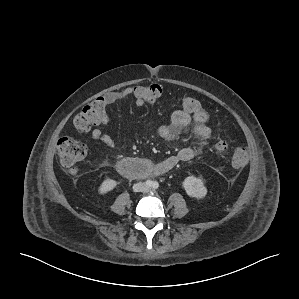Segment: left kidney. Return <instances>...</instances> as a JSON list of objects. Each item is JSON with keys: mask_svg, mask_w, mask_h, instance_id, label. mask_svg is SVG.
I'll return each mask as SVG.
<instances>
[{"mask_svg": "<svg viewBox=\"0 0 299 299\" xmlns=\"http://www.w3.org/2000/svg\"><path fill=\"white\" fill-rule=\"evenodd\" d=\"M183 187L188 196L194 198H203L207 194V188L204 186L203 181L200 178L194 176H188L183 181Z\"/></svg>", "mask_w": 299, "mask_h": 299, "instance_id": "5707ae66", "label": "left kidney"}]
</instances>
